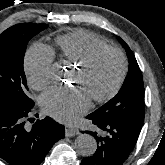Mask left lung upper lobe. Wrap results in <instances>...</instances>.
Wrapping results in <instances>:
<instances>
[{"label": "left lung upper lobe", "mask_w": 165, "mask_h": 165, "mask_svg": "<svg viewBox=\"0 0 165 165\" xmlns=\"http://www.w3.org/2000/svg\"><path fill=\"white\" fill-rule=\"evenodd\" d=\"M125 48L129 71L118 94L89 117L103 121H117L142 127L144 121V84L141 70L129 46L120 38Z\"/></svg>", "instance_id": "obj_1"}]
</instances>
